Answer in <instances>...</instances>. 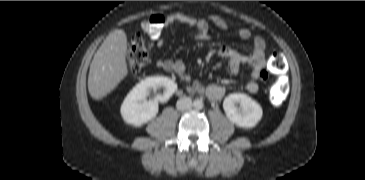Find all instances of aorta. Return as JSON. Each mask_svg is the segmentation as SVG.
Listing matches in <instances>:
<instances>
[{
    "mask_svg": "<svg viewBox=\"0 0 365 180\" xmlns=\"http://www.w3.org/2000/svg\"><path fill=\"white\" fill-rule=\"evenodd\" d=\"M193 106H194V108H195V109L200 110V109H202V108H203V101H202V100L197 99V100H195V101L193 102Z\"/></svg>",
    "mask_w": 365,
    "mask_h": 180,
    "instance_id": "762f6f07",
    "label": "aorta"
}]
</instances>
